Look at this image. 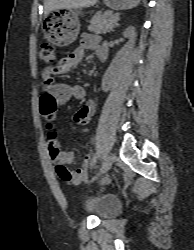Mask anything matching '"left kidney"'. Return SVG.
I'll list each match as a JSON object with an SVG mask.
<instances>
[{
    "label": "left kidney",
    "mask_w": 194,
    "mask_h": 250,
    "mask_svg": "<svg viewBox=\"0 0 194 250\" xmlns=\"http://www.w3.org/2000/svg\"><path fill=\"white\" fill-rule=\"evenodd\" d=\"M123 36L125 38H129V42L127 44V50L131 51L134 48L135 40H136L135 28L132 26L126 28L125 31L123 32Z\"/></svg>",
    "instance_id": "left-kidney-1"
}]
</instances>
